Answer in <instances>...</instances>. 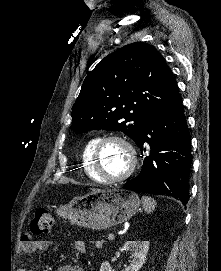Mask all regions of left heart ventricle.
<instances>
[{
	"label": "left heart ventricle",
	"instance_id": "1",
	"mask_svg": "<svg viewBox=\"0 0 221 271\" xmlns=\"http://www.w3.org/2000/svg\"><path fill=\"white\" fill-rule=\"evenodd\" d=\"M102 141H121L118 139H105ZM100 158H98L97 163L103 166L105 172L111 177H121L124 173V169H127L126 161H124V156L126 152L120 151V144H103L100 149Z\"/></svg>",
	"mask_w": 221,
	"mask_h": 271
}]
</instances>
